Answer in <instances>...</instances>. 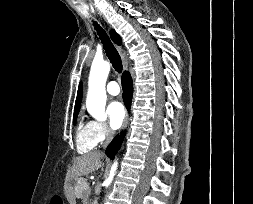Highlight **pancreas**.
Instances as JSON below:
<instances>
[{
	"label": "pancreas",
	"instance_id": "1",
	"mask_svg": "<svg viewBox=\"0 0 253 204\" xmlns=\"http://www.w3.org/2000/svg\"><path fill=\"white\" fill-rule=\"evenodd\" d=\"M86 183H88L87 179L79 178L75 186V194L80 196L83 200H87L90 193V188L84 187Z\"/></svg>",
	"mask_w": 253,
	"mask_h": 204
}]
</instances>
